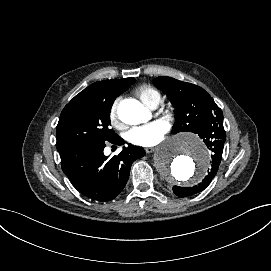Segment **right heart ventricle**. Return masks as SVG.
<instances>
[{
	"mask_svg": "<svg viewBox=\"0 0 271 271\" xmlns=\"http://www.w3.org/2000/svg\"><path fill=\"white\" fill-rule=\"evenodd\" d=\"M135 93L143 101V103L146 104L147 106H149L150 103L154 99H158L159 102L161 99L160 92L156 88H154L153 86H151L149 84H143V85L139 86L135 90Z\"/></svg>",
	"mask_w": 271,
	"mask_h": 271,
	"instance_id": "obj_1",
	"label": "right heart ventricle"
}]
</instances>
